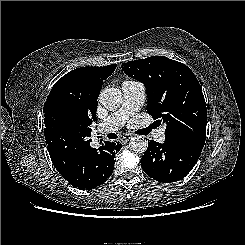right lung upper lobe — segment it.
Returning <instances> with one entry per match:
<instances>
[{"label":"right lung upper lobe","instance_id":"obj_1","mask_svg":"<svg viewBox=\"0 0 245 245\" xmlns=\"http://www.w3.org/2000/svg\"><path fill=\"white\" fill-rule=\"evenodd\" d=\"M116 66L77 68L54 84L43 108L46 143L63 138L74 150L91 141L89 126L97 120V98Z\"/></svg>","mask_w":245,"mask_h":245}]
</instances>
